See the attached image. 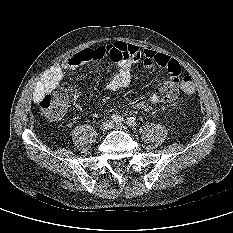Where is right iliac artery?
I'll return each mask as SVG.
<instances>
[{"label":"right iliac artery","mask_w":233,"mask_h":233,"mask_svg":"<svg viewBox=\"0 0 233 233\" xmlns=\"http://www.w3.org/2000/svg\"><path fill=\"white\" fill-rule=\"evenodd\" d=\"M112 121H114L115 123H121L124 121V118L119 116V115H116L114 114L112 117H111Z\"/></svg>","instance_id":"right-iliac-artery-1"}]
</instances>
